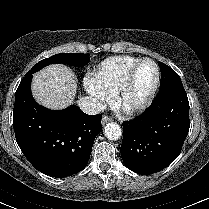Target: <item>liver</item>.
Masks as SVG:
<instances>
[{
  "instance_id": "1",
  "label": "liver",
  "mask_w": 209,
  "mask_h": 209,
  "mask_svg": "<svg viewBox=\"0 0 209 209\" xmlns=\"http://www.w3.org/2000/svg\"><path fill=\"white\" fill-rule=\"evenodd\" d=\"M77 81L70 68L53 64L35 73L32 81V94L42 106L60 110L73 103Z\"/></svg>"
}]
</instances>
